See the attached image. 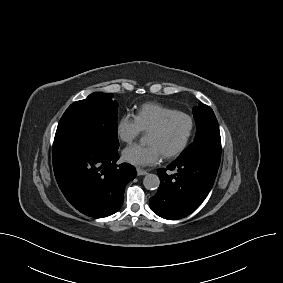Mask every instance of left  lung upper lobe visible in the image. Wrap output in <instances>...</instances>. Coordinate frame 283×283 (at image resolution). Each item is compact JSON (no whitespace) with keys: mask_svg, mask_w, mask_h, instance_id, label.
Masks as SVG:
<instances>
[{"mask_svg":"<svg viewBox=\"0 0 283 283\" xmlns=\"http://www.w3.org/2000/svg\"><path fill=\"white\" fill-rule=\"evenodd\" d=\"M193 114L197 126L196 136L194 142L181 153L178 159L202 156L220 164L221 137L213 110L200 103L193 108Z\"/></svg>","mask_w":283,"mask_h":283,"instance_id":"1","label":"left lung upper lobe"}]
</instances>
